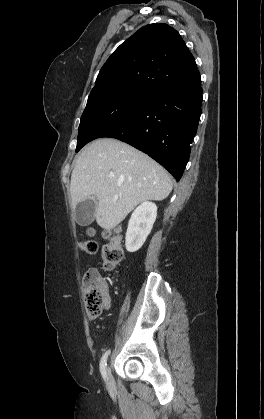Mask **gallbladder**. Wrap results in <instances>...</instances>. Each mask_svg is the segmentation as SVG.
<instances>
[{"label": "gallbladder", "mask_w": 264, "mask_h": 419, "mask_svg": "<svg viewBox=\"0 0 264 419\" xmlns=\"http://www.w3.org/2000/svg\"><path fill=\"white\" fill-rule=\"evenodd\" d=\"M97 202L92 199H86L77 204L75 208L76 221L81 226L90 225L95 217Z\"/></svg>", "instance_id": "obj_1"}]
</instances>
